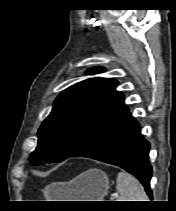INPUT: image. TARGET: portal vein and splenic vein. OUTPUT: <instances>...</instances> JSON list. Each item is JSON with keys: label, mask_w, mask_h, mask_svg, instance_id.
Returning <instances> with one entry per match:
<instances>
[{"label": "portal vein and splenic vein", "mask_w": 176, "mask_h": 211, "mask_svg": "<svg viewBox=\"0 0 176 211\" xmlns=\"http://www.w3.org/2000/svg\"><path fill=\"white\" fill-rule=\"evenodd\" d=\"M118 198V195L117 194H114L110 199V201H113L114 199Z\"/></svg>", "instance_id": "18ae733b"}]
</instances>
